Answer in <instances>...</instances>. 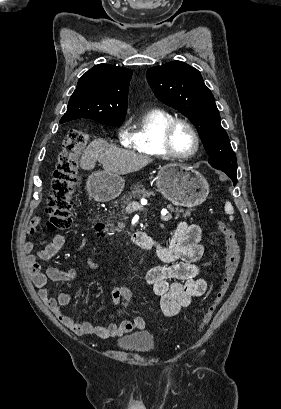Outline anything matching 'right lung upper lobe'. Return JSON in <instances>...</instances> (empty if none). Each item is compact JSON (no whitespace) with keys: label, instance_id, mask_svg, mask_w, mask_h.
<instances>
[{"label":"right lung upper lobe","instance_id":"right-lung-upper-lobe-1","mask_svg":"<svg viewBox=\"0 0 281 409\" xmlns=\"http://www.w3.org/2000/svg\"><path fill=\"white\" fill-rule=\"evenodd\" d=\"M131 76V70L124 67L94 66L79 79L60 123L78 118L125 119Z\"/></svg>","mask_w":281,"mask_h":409}]
</instances>
